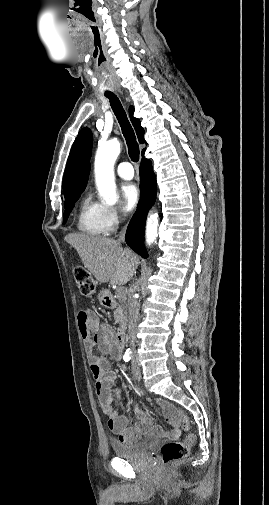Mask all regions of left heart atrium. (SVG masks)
I'll list each match as a JSON object with an SVG mask.
<instances>
[{
  "mask_svg": "<svg viewBox=\"0 0 269 505\" xmlns=\"http://www.w3.org/2000/svg\"><path fill=\"white\" fill-rule=\"evenodd\" d=\"M121 196L123 209L127 212H130L137 206L139 202V188L133 183H127L122 187Z\"/></svg>",
  "mask_w": 269,
  "mask_h": 505,
  "instance_id": "39dd6f15",
  "label": "left heart atrium"
}]
</instances>
